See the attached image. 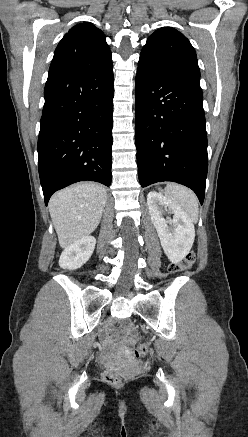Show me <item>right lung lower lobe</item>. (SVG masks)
<instances>
[{"label":"right lung lower lobe","mask_w":248,"mask_h":437,"mask_svg":"<svg viewBox=\"0 0 248 437\" xmlns=\"http://www.w3.org/2000/svg\"><path fill=\"white\" fill-rule=\"evenodd\" d=\"M113 65L88 73H55L45 85L38 169L47 205L78 181L111 184Z\"/></svg>","instance_id":"1"}]
</instances>
